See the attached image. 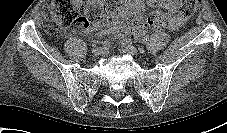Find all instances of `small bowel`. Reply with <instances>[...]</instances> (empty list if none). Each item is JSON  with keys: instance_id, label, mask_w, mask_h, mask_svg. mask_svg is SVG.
I'll list each match as a JSON object with an SVG mask.
<instances>
[{"instance_id": "small-bowel-1", "label": "small bowel", "mask_w": 227, "mask_h": 133, "mask_svg": "<svg viewBox=\"0 0 227 133\" xmlns=\"http://www.w3.org/2000/svg\"><path fill=\"white\" fill-rule=\"evenodd\" d=\"M151 7H161L166 13H163V22H151L148 19L144 22L142 20V13L144 11V0H123V6L115 16L109 20L105 28L100 29L104 22L96 23L93 27L88 29L86 33L90 35L94 31L99 34H113L118 37H124L130 33L138 38H142L150 25H155L159 28L167 30H175L181 27L185 19L178 12V0H148ZM140 17L137 19L135 15Z\"/></svg>"}]
</instances>
